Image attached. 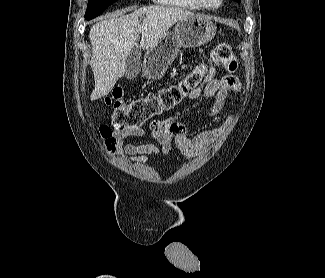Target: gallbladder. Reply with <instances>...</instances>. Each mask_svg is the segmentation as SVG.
Wrapping results in <instances>:
<instances>
[{
  "label": "gallbladder",
  "instance_id": "gallbladder-1",
  "mask_svg": "<svg viewBox=\"0 0 325 278\" xmlns=\"http://www.w3.org/2000/svg\"><path fill=\"white\" fill-rule=\"evenodd\" d=\"M141 51L138 47H133L126 59V69L124 76L128 79L136 77L141 67Z\"/></svg>",
  "mask_w": 325,
  "mask_h": 278
}]
</instances>
